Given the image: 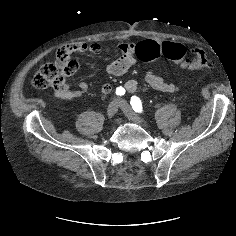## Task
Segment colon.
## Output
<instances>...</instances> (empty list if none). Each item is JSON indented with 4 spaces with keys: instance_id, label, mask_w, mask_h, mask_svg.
Here are the masks:
<instances>
[{
    "instance_id": "1",
    "label": "colon",
    "mask_w": 236,
    "mask_h": 236,
    "mask_svg": "<svg viewBox=\"0 0 236 236\" xmlns=\"http://www.w3.org/2000/svg\"><path fill=\"white\" fill-rule=\"evenodd\" d=\"M193 54L191 59L186 58L187 48L181 43L169 41L160 45L143 42L136 49V56L143 62H152L164 56L188 70H198L209 66L210 62L201 48H195ZM71 62V54L64 48L59 49L55 61L44 64L33 77V87L45 89L51 85L60 84L67 74Z\"/></svg>"
}]
</instances>
